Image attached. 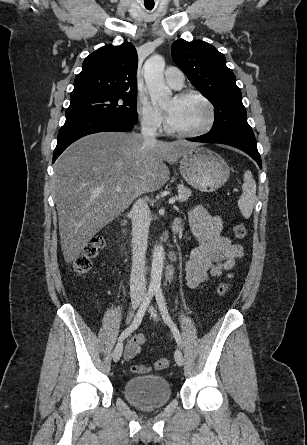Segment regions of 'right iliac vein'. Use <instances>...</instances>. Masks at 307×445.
<instances>
[{
	"mask_svg": "<svg viewBox=\"0 0 307 445\" xmlns=\"http://www.w3.org/2000/svg\"><path fill=\"white\" fill-rule=\"evenodd\" d=\"M140 303H141V299H138V298L133 299L132 300V308L134 310L137 309L139 307ZM122 352H123V343H122V341H120L116 345V347L114 348V351H113V360L115 362H117L121 358Z\"/></svg>",
	"mask_w": 307,
	"mask_h": 445,
	"instance_id": "1",
	"label": "right iliac vein"
}]
</instances>
